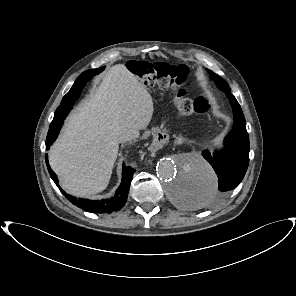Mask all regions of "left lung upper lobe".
Returning a JSON list of instances; mask_svg holds the SVG:
<instances>
[{
  "label": "left lung upper lobe",
  "instance_id": "left-lung-upper-lobe-1",
  "mask_svg": "<svg viewBox=\"0 0 296 296\" xmlns=\"http://www.w3.org/2000/svg\"><path fill=\"white\" fill-rule=\"evenodd\" d=\"M207 71L213 77L217 87L220 88L222 91H224L228 97H230L232 94L230 92V88H229L227 82L225 80H223L221 77H219L218 75H216L214 72H212L208 69H207Z\"/></svg>",
  "mask_w": 296,
  "mask_h": 296
}]
</instances>
